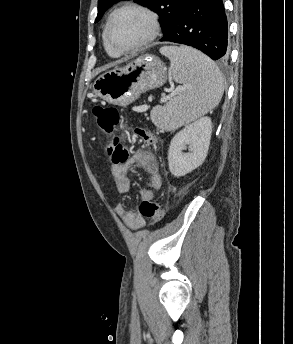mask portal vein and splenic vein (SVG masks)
<instances>
[{
  "label": "portal vein and splenic vein",
  "mask_w": 293,
  "mask_h": 344,
  "mask_svg": "<svg viewBox=\"0 0 293 344\" xmlns=\"http://www.w3.org/2000/svg\"><path fill=\"white\" fill-rule=\"evenodd\" d=\"M182 88L181 87H177L174 91H172L168 96H163L162 97V101H166L168 100L170 97L176 95Z\"/></svg>",
  "instance_id": "portal-vein-and-splenic-vein-1"
}]
</instances>
